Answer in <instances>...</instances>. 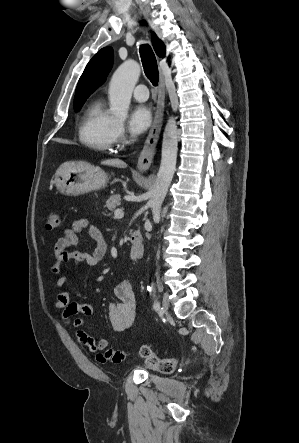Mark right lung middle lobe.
Here are the masks:
<instances>
[{
  "label": "right lung middle lobe",
  "mask_w": 299,
  "mask_h": 443,
  "mask_svg": "<svg viewBox=\"0 0 299 443\" xmlns=\"http://www.w3.org/2000/svg\"><path fill=\"white\" fill-rule=\"evenodd\" d=\"M82 105H83V103L75 105L74 106L75 110L78 111L81 108Z\"/></svg>",
  "instance_id": "dd1d6c3e"
}]
</instances>
